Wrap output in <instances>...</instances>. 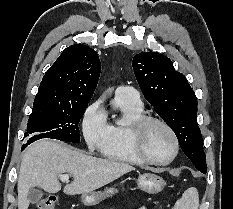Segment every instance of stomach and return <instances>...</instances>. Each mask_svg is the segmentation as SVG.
Here are the masks:
<instances>
[{
  "instance_id": "obj_1",
  "label": "stomach",
  "mask_w": 233,
  "mask_h": 209,
  "mask_svg": "<svg viewBox=\"0 0 233 209\" xmlns=\"http://www.w3.org/2000/svg\"><path fill=\"white\" fill-rule=\"evenodd\" d=\"M138 188L149 194L160 192L164 186L165 181L162 177L153 173L140 174L137 180ZM117 192L114 188H108L103 192H90L82 194L81 200L86 206H95L104 199L112 196Z\"/></svg>"
}]
</instances>
